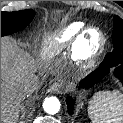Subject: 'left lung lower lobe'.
Masks as SVG:
<instances>
[{
  "instance_id": "obj_1",
  "label": "left lung lower lobe",
  "mask_w": 123,
  "mask_h": 123,
  "mask_svg": "<svg viewBox=\"0 0 123 123\" xmlns=\"http://www.w3.org/2000/svg\"><path fill=\"white\" fill-rule=\"evenodd\" d=\"M116 66V69L114 71V75L120 79V81L123 83V64H116L112 65L106 62H102L98 69L93 71L91 74H89L85 79H83L79 83V88L88 89L93 87L95 84L100 82L110 71V68ZM67 108L69 114H72L73 107H74V100L72 97L66 98Z\"/></svg>"
}]
</instances>
